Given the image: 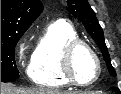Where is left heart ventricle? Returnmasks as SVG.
I'll use <instances>...</instances> for the list:
<instances>
[{"label": "left heart ventricle", "mask_w": 121, "mask_h": 94, "mask_svg": "<svg viewBox=\"0 0 121 94\" xmlns=\"http://www.w3.org/2000/svg\"><path fill=\"white\" fill-rule=\"evenodd\" d=\"M73 72L80 82H90L97 74V64L92 54L84 47H79L73 57Z\"/></svg>", "instance_id": "b2bd125f"}]
</instances>
